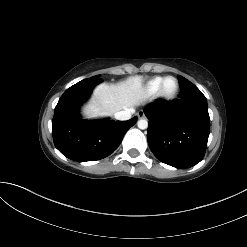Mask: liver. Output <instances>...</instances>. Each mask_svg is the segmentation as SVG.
I'll use <instances>...</instances> for the list:
<instances>
[{
    "label": "liver",
    "instance_id": "liver-1",
    "mask_svg": "<svg viewBox=\"0 0 247 247\" xmlns=\"http://www.w3.org/2000/svg\"><path fill=\"white\" fill-rule=\"evenodd\" d=\"M144 99L141 76L130 77L116 85L100 84L94 89L92 99L83 107V115L88 119L111 116L122 109L138 105Z\"/></svg>",
    "mask_w": 247,
    "mask_h": 247
}]
</instances>
